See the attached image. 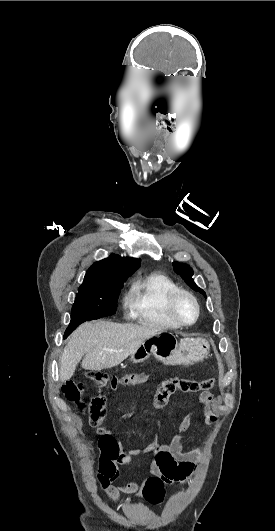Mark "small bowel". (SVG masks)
<instances>
[{
	"label": "small bowel",
	"instance_id": "obj_1",
	"mask_svg": "<svg viewBox=\"0 0 275 531\" xmlns=\"http://www.w3.org/2000/svg\"><path fill=\"white\" fill-rule=\"evenodd\" d=\"M148 371L145 374L130 373L127 375L111 374L109 381L112 383L111 388L113 391H125L128 388L126 382L130 384L146 383L149 380ZM214 397L211 393H202L199 397V404L202 411L200 415V422L212 426L217 422V416L213 411ZM191 419L184 420L173 440L170 444H160L158 442V436L155 433L150 444L145 449H130L122 453V458L118 462L119 464H144L145 461L142 456L146 453H152L153 459L147 463L149 471H159L160 475L165 478L169 483H180L192 476L195 470V463L200 460L202 456V447L197 446L192 450L183 449V439L187 431L192 426ZM98 445L101 450L109 445H118L121 448V442L110 432L101 431ZM114 478V477H113ZM113 478L106 479L102 475L98 477L101 488L104 490L107 499L114 505L125 506V501L120 492L133 494L135 499H139L144 486L143 481L128 482L120 487L111 485L110 481Z\"/></svg>",
	"mask_w": 275,
	"mask_h": 531
}]
</instances>
